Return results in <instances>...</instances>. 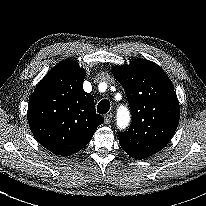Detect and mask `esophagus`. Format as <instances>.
Returning <instances> with one entry per match:
<instances>
[{
	"label": "esophagus",
	"mask_w": 206,
	"mask_h": 206,
	"mask_svg": "<svg viewBox=\"0 0 206 206\" xmlns=\"http://www.w3.org/2000/svg\"><path fill=\"white\" fill-rule=\"evenodd\" d=\"M112 118H113V115H112V114H106V115L104 116L105 123H106V124H110L111 121H112Z\"/></svg>",
	"instance_id": "34e87169"
}]
</instances>
